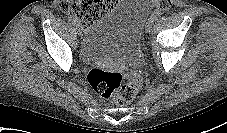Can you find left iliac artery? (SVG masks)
Returning <instances> with one entry per match:
<instances>
[{
  "label": "left iliac artery",
  "mask_w": 227,
  "mask_h": 133,
  "mask_svg": "<svg viewBox=\"0 0 227 133\" xmlns=\"http://www.w3.org/2000/svg\"><path fill=\"white\" fill-rule=\"evenodd\" d=\"M161 16V12L156 11L152 14L151 19L154 21L158 20V18Z\"/></svg>",
  "instance_id": "1"
}]
</instances>
